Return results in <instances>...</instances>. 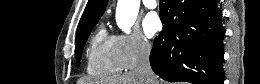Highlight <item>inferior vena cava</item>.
I'll list each match as a JSON object with an SVG mask.
<instances>
[{"mask_svg": "<svg viewBox=\"0 0 260 84\" xmlns=\"http://www.w3.org/2000/svg\"><path fill=\"white\" fill-rule=\"evenodd\" d=\"M149 56L150 48L144 47L140 49L134 73L143 79L144 84H157L156 76L150 66Z\"/></svg>", "mask_w": 260, "mask_h": 84, "instance_id": "obj_1", "label": "inferior vena cava"}]
</instances>
